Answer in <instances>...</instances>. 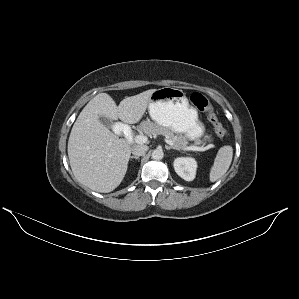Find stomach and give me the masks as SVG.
Here are the masks:
<instances>
[{"mask_svg":"<svg viewBox=\"0 0 299 299\" xmlns=\"http://www.w3.org/2000/svg\"><path fill=\"white\" fill-rule=\"evenodd\" d=\"M148 109L151 119L158 125L182 133L189 140H198L204 134L205 128L198 119L197 111L190 107L181 89H156L151 95Z\"/></svg>","mask_w":299,"mask_h":299,"instance_id":"stomach-1","label":"stomach"}]
</instances>
